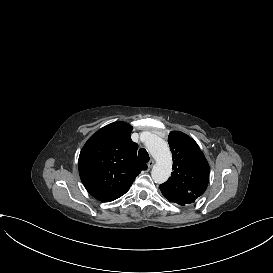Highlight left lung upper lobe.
<instances>
[{"instance_id":"5c2ea615","label":"left lung upper lobe","mask_w":273,"mask_h":273,"mask_svg":"<svg viewBox=\"0 0 273 273\" xmlns=\"http://www.w3.org/2000/svg\"><path fill=\"white\" fill-rule=\"evenodd\" d=\"M168 143L173 157V172L160 185L162 193L169 196L194 194L201 196L208 185L209 165L197 143L180 131H172Z\"/></svg>"}]
</instances>
